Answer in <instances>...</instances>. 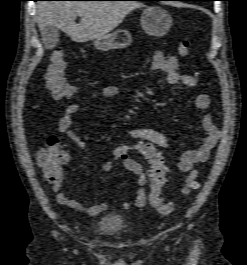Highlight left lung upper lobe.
Segmentation results:
<instances>
[{
    "mask_svg": "<svg viewBox=\"0 0 247 265\" xmlns=\"http://www.w3.org/2000/svg\"><path fill=\"white\" fill-rule=\"evenodd\" d=\"M202 1H213V0H202Z\"/></svg>",
    "mask_w": 247,
    "mask_h": 265,
    "instance_id": "left-lung-upper-lobe-1",
    "label": "left lung upper lobe"
}]
</instances>
